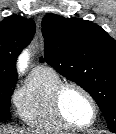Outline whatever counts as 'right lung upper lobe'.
<instances>
[{"label":"right lung upper lobe","instance_id":"cb5924a9","mask_svg":"<svg viewBox=\"0 0 116 134\" xmlns=\"http://www.w3.org/2000/svg\"><path fill=\"white\" fill-rule=\"evenodd\" d=\"M36 26L32 19L12 15L0 22V82H16V60L32 40Z\"/></svg>","mask_w":116,"mask_h":134}]
</instances>
